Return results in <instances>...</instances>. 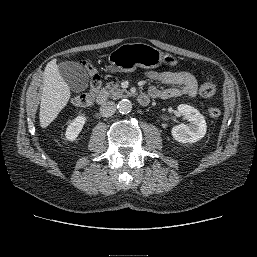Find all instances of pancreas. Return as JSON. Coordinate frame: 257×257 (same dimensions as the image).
<instances>
[{"label": "pancreas", "instance_id": "obj_1", "mask_svg": "<svg viewBox=\"0 0 257 257\" xmlns=\"http://www.w3.org/2000/svg\"><path fill=\"white\" fill-rule=\"evenodd\" d=\"M102 92L114 100L122 98L124 96L123 95L124 93L129 94V92L127 90L119 88L118 83H116V84L112 83V84L105 86V88H103Z\"/></svg>", "mask_w": 257, "mask_h": 257}]
</instances>
